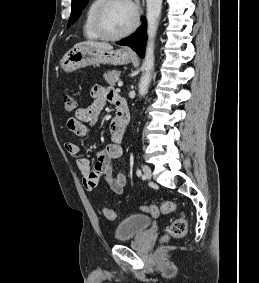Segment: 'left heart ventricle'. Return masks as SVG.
Returning <instances> with one entry per match:
<instances>
[{
	"label": "left heart ventricle",
	"instance_id": "b2bd125f",
	"mask_svg": "<svg viewBox=\"0 0 259 283\" xmlns=\"http://www.w3.org/2000/svg\"><path fill=\"white\" fill-rule=\"evenodd\" d=\"M134 11L127 0H114L102 14V26L108 34H119L133 22Z\"/></svg>",
	"mask_w": 259,
	"mask_h": 283
}]
</instances>
